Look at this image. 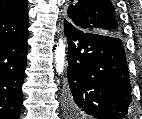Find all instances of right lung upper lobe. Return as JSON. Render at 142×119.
<instances>
[{"instance_id":"right-lung-upper-lobe-1","label":"right lung upper lobe","mask_w":142,"mask_h":119,"mask_svg":"<svg viewBox=\"0 0 142 119\" xmlns=\"http://www.w3.org/2000/svg\"><path fill=\"white\" fill-rule=\"evenodd\" d=\"M28 1L0 0V44L28 33Z\"/></svg>"}]
</instances>
